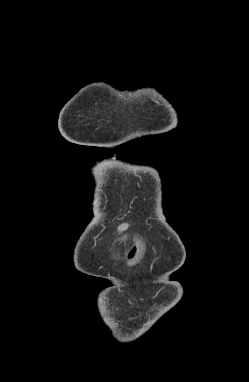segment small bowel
Segmentation results:
<instances>
[{"mask_svg": "<svg viewBox=\"0 0 249 382\" xmlns=\"http://www.w3.org/2000/svg\"><path fill=\"white\" fill-rule=\"evenodd\" d=\"M137 247L135 248L137 251L140 249L139 247L141 246L139 243L136 245ZM127 257L128 258H131V257H133V258H136L137 257V254L136 253H133V254H131V253H128L127 254Z\"/></svg>", "mask_w": 249, "mask_h": 382, "instance_id": "1", "label": "small bowel"}]
</instances>
